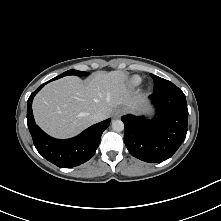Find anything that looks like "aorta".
<instances>
[{
    "label": "aorta",
    "mask_w": 221,
    "mask_h": 221,
    "mask_svg": "<svg viewBox=\"0 0 221 221\" xmlns=\"http://www.w3.org/2000/svg\"><path fill=\"white\" fill-rule=\"evenodd\" d=\"M112 129L116 132H121L124 130V123L122 120L112 121Z\"/></svg>",
    "instance_id": "762f6f07"
}]
</instances>
